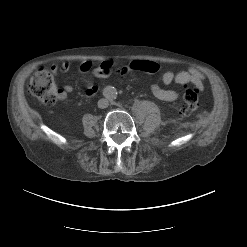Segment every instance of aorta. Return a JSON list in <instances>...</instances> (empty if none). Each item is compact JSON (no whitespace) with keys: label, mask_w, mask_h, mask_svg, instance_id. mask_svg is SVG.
<instances>
[{"label":"aorta","mask_w":247,"mask_h":247,"mask_svg":"<svg viewBox=\"0 0 247 247\" xmlns=\"http://www.w3.org/2000/svg\"><path fill=\"white\" fill-rule=\"evenodd\" d=\"M104 95L107 99L109 100H114L116 99L117 97V90L115 87H112V86H107L105 89H104Z\"/></svg>","instance_id":"1"}]
</instances>
